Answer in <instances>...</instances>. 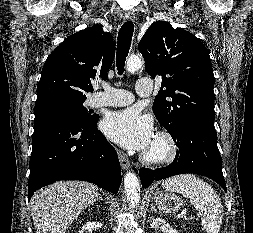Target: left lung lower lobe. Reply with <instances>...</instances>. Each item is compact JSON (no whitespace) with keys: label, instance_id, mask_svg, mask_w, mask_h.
<instances>
[{"label":"left lung lower lobe","instance_id":"1","mask_svg":"<svg viewBox=\"0 0 253 233\" xmlns=\"http://www.w3.org/2000/svg\"><path fill=\"white\" fill-rule=\"evenodd\" d=\"M174 141L179 151L172 164L156 170H139L142 188L170 176L194 173L211 178L226 191L214 121L200 118L185 124Z\"/></svg>","mask_w":253,"mask_h":233}]
</instances>
